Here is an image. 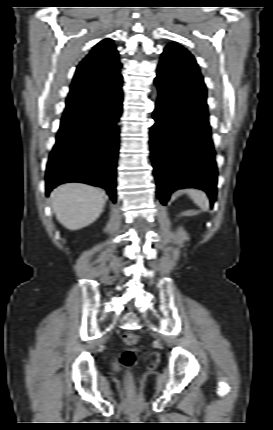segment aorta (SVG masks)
Wrapping results in <instances>:
<instances>
[{
    "mask_svg": "<svg viewBox=\"0 0 273 430\" xmlns=\"http://www.w3.org/2000/svg\"><path fill=\"white\" fill-rule=\"evenodd\" d=\"M155 97L157 96V92H155V95H154Z\"/></svg>",
    "mask_w": 273,
    "mask_h": 430,
    "instance_id": "1",
    "label": "aorta"
}]
</instances>
